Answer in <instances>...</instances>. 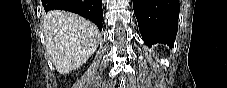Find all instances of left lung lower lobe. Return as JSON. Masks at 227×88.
<instances>
[{
	"instance_id": "0a47b994",
	"label": "left lung lower lobe",
	"mask_w": 227,
	"mask_h": 88,
	"mask_svg": "<svg viewBox=\"0 0 227 88\" xmlns=\"http://www.w3.org/2000/svg\"><path fill=\"white\" fill-rule=\"evenodd\" d=\"M133 8L146 45H174L180 10L179 0H133Z\"/></svg>"
}]
</instances>
